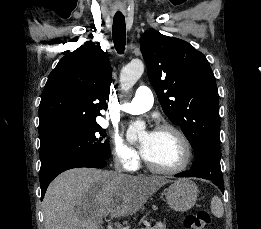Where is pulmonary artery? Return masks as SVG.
Returning a JSON list of instances; mask_svg holds the SVG:
<instances>
[{
  "instance_id": "1",
  "label": "pulmonary artery",
  "mask_w": 261,
  "mask_h": 229,
  "mask_svg": "<svg viewBox=\"0 0 261 229\" xmlns=\"http://www.w3.org/2000/svg\"><path fill=\"white\" fill-rule=\"evenodd\" d=\"M153 102L154 96L152 90L146 86H141L136 90L134 100L124 104L122 108L128 114L138 115L150 110Z\"/></svg>"
}]
</instances>
